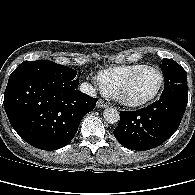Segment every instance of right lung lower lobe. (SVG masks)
<instances>
[{"label":"right lung lower lobe","instance_id":"right-lung-lower-lobe-1","mask_svg":"<svg viewBox=\"0 0 195 195\" xmlns=\"http://www.w3.org/2000/svg\"><path fill=\"white\" fill-rule=\"evenodd\" d=\"M78 84L79 80L63 89L47 76L13 72L5 90L4 108L14 130L38 149L51 151L66 146L97 102L76 90Z\"/></svg>","mask_w":195,"mask_h":195}]
</instances>
